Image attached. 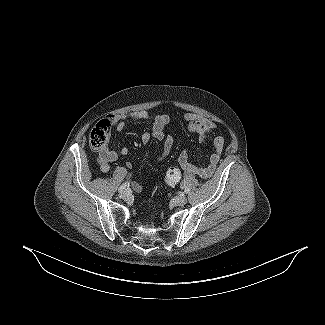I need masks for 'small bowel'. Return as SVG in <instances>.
<instances>
[{"label": "small bowel", "instance_id": "c3829d8e", "mask_svg": "<svg viewBox=\"0 0 325 325\" xmlns=\"http://www.w3.org/2000/svg\"><path fill=\"white\" fill-rule=\"evenodd\" d=\"M169 120V116L165 114L152 115L146 111H136L115 116L113 119V124L115 130L123 131L131 121L151 122V130L144 132L141 135V140L143 143L149 142L152 138L159 141L161 144V154L157 160L162 161L170 155L174 145L173 137L171 135L165 134L164 132V129L169 123ZM184 120L187 123L188 130L192 133H195L201 143L212 144L213 152L210 155L208 163L204 166H197L192 164L189 160V154L186 150L180 153L178 157V163L184 171L186 177L198 176L201 178H210L213 176L220 161L224 148V139L222 136H213L214 124L209 121L199 118L191 113L185 114ZM127 154V147H121L118 150H111L108 146H105L98 152L97 164L101 171L106 172L110 168V163ZM126 166L130 168L131 163L128 162ZM132 187L137 192L142 190V185L137 182H133Z\"/></svg>", "mask_w": 325, "mask_h": 325}]
</instances>
